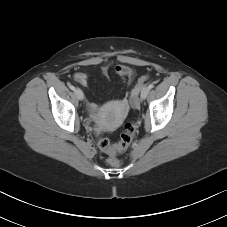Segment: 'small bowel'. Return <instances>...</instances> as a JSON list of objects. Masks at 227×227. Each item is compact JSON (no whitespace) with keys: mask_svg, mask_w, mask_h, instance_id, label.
<instances>
[{"mask_svg":"<svg viewBox=\"0 0 227 227\" xmlns=\"http://www.w3.org/2000/svg\"><path fill=\"white\" fill-rule=\"evenodd\" d=\"M101 72H102L103 76L107 77L108 76V67H103ZM115 72L127 84H131L134 80L135 72L132 68H130L127 65H124V64L117 65L115 67ZM73 79L75 82H77L83 86L88 85L89 79L85 73H82V72L75 73L73 76ZM90 106L92 109L95 108L94 104H90Z\"/></svg>","mask_w":227,"mask_h":227,"instance_id":"c3829d8e","label":"small bowel"}]
</instances>
